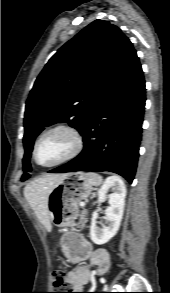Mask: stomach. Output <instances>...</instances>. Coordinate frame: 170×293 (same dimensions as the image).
I'll list each match as a JSON object with an SVG mask.
<instances>
[{"mask_svg":"<svg viewBox=\"0 0 170 293\" xmlns=\"http://www.w3.org/2000/svg\"><path fill=\"white\" fill-rule=\"evenodd\" d=\"M92 191L86 175L67 174L51 190L48 198L50 220L57 227L71 226L79 215L78 203L86 200Z\"/></svg>","mask_w":170,"mask_h":293,"instance_id":"1","label":"stomach"}]
</instances>
